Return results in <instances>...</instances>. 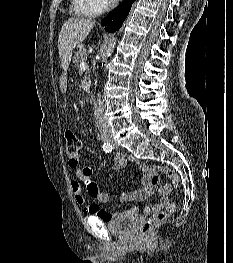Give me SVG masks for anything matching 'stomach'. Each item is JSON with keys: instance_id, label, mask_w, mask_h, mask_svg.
Returning a JSON list of instances; mask_svg holds the SVG:
<instances>
[{"instance_id": "0dacf381", "label": "stomach", "mask_w": 233, "mask_h": 263, "mask_svg": "<svg viewBox=\"0 0 233 263\" xmlns=\"http://www.w3.org/2000/svg\"><path fill=\"white\" fill-rule=\"evenodd\" d=\"M55 81H56V82H60L59 87H60V90H61V91H68L69 88L72 87V84L69 83V81L66 80L65 77H56V78H55Z\"/></svg>"}]
</instances>
